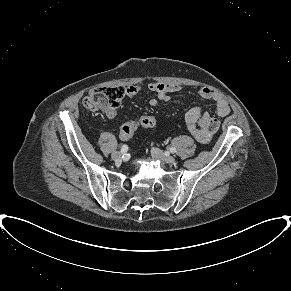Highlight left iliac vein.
<instances>
[{
    "mask_svg": "<svg viewBox=\"0 0 291 291\" xmlns=\"http://www.w3.org/2000/svg\"><path fill=\"white\" fill-rule=\"evenodd\" d=\"M151 155L154 159L160 160L164 163L172 164L175 162V158L173 156L165 154L162 150L158 148H152Z\"/></svg>",
    "mask_w": 291,
    "mask_h": 291,
    "instance_id": "obj_1",
    "label": "left iliac vein"
}]
</instances>
